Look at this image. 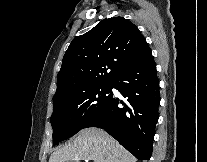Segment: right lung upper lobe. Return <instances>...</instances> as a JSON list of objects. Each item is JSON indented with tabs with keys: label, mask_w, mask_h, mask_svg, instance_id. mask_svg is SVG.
<instances>
[{
	"label": "right lung upper lobe",
	"mask_w": 207,
	"mask_h": 162,
	"mask_svg": "<svg viewBox=\"0 0 207 162\" xmlns=\"http://www.w3.org/2000/svg\"><path fill=\"white\" fill-rule=\"evenodd\" d=\"M152 57L144 36L123 17L98 23L69 45L53 99L112 84L129 67Z\"/></svg>",
	"instance_id": "1"
}]
</instances>
